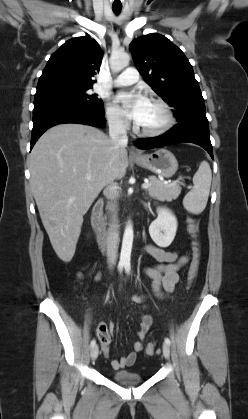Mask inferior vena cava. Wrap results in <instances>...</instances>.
<instances>
[{"label": "inferior vena cava", "mask_w": 248, "mask_h": 419, "mask_svg": "<svg viewBox=\"0 0 248 419\" xmlns=\"http://www.w3.org/2000/svg\"><path fill=\"white\" fill-rule=\"evenodd\" d=\"M109 137L114 149L125 148L128 143L126 125L124 121L118 116H112L108 119ZM105 194L111 200L116 196V189L113 181L108 185ZM115 202V201H114ZM113 211L115 210V203L111 204ZM116 214V212H115ZM118 242H119V224L116 215H113L112 222L109 224L107 237V261L110 266L116 264L118 256Z\"/></svg>", "instance_id": "inferior-vena-cava-1"}]
</instances>
